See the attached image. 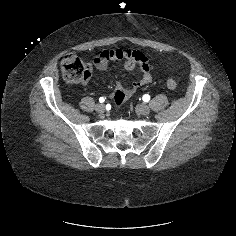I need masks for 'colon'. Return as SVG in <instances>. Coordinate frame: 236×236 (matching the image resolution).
Listing matches in <instances>:
<instances>
[{
  "label": "colon",
  "instance_id": "1",
  "mask_svg": "<svg viewBox=\"0 0 236 236\" xmlns=\"http://www.w3.org/2000/svg\"><path fill=\"white\" fill-rule=\"evenodd\" d=\"M62 76L69 83H80L86 81L91 76V71L77 55L69 54L65 56L60 64ZM167 87L174 90L177 87V82L173 77L167 79ZM116 100L119 105L124 102L122 93L116 95Z\"/></svg>",
  "mask_w": 236,
  "mask_h": 236
}]
</instances>
